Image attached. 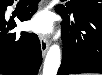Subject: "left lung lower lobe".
Listing matches in <instances>:
<instances>
[{"mask_svg":"<svg viewBox=\"0 0 102 75\" xmlns=\"http://www.w3.org/2000/svg\"><path fill=\"white\" fill-rule=\"evenodd\" d=\"M64 45L57 75L102 73V13L67 16L56 8Z\"/></svg>","mask_w":102,"mask_h":75,"instance_id":"1","label":"left lung lower lobe"}]
</instances>
